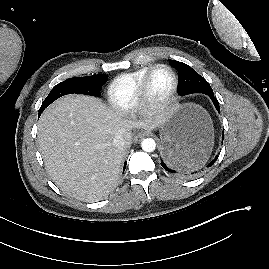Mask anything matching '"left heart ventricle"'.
Returning <instances> with one entry per match:
<instances>
[{"label":"left heart ventricle","mask_w":269,"mask_h":269,"mask_svg":"<svg viewBox=\"0 0 269 269\" xmlns=\"http://www.w3.org/2000/svg\"><path fill=\"white\" fill-rule=\"evenodd\" d=\"M172 86L171 73L165 68L156 69L149 82L148 93L151 99L161 100L169 92Z\"/></svg>","instance_id":"left-heart-ventricle-1"}]
</instances>
